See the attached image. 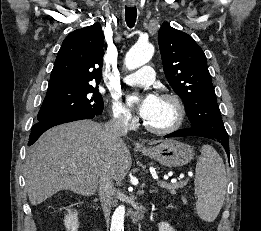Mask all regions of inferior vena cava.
Returning <instances> with one entry per match:
<instances>
[{
	"instance_id": "602c4592",
	"label": "inferior vena cava",
	"mask_w": 261,
	"mask_h": 231,
	"mask_svg": "<svg viewBox=\"0 0 261 231\" xmlns=\"http://www.w3.org/2000/svg\"><path fill=\"white\" fill-rule=\"evenodd\" d=\"M128 119L123 116L113 118L104 125V136L107 144L120 142L128 132ZM114 195L113 175L105 164L99 173V196L105 218L109 220Z\"/></svg>"
}]
</instances>
